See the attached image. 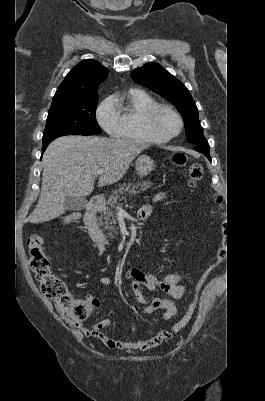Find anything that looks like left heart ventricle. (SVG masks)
I'll return each mask as SVG.
<instances>
[{"label":"left heart ventricle","instance_id":"b2bd125f","mask_svg":"<svg viewBox=\"0 0 265 401\" xmlns=\"http://www.w3.org/2000/svg\"><path fill=\"white\" fill-rule=\"evenodd\" d=\"M179 131L177 118L167 112H159L153 120L154 135L160 139L169 138Z\"/></svg>","mask_w":265,"mask_h":401}]
</instances>
